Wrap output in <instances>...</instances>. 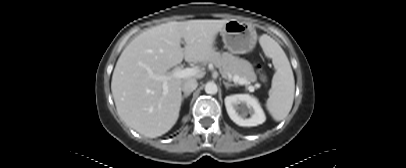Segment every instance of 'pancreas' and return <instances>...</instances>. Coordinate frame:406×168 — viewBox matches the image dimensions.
<instances>
[{
  "instance_id": "1",
  "label": "pancreas",
  "mask_w": 406,
  "mask_h": 168,
  "mask_svg": "<svg viewBox=\"0 0 406 168\" xmlns=\"http://www.w3.org/2000/svg\"><path fill=\"white\" fill-rule=\"evenodd\" d=\"M213 63L220 71L222 76L226 78H233L238 75L244 78L248 83L255 82L257 77L254 73L252 65L233 56L231 53L224 52L222 54L215 52V54L208 60Z\"/></svg>"
}]
</instances>
